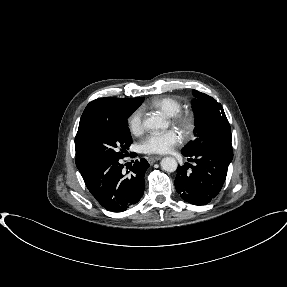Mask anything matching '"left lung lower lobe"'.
I'll list each match as a JSON object with an SVG mask.
<instances>
[{
    "label": "left lung lower lobe",
    "instance_id": "1",
    "mask_svg": "<svg viewBox=\"0 0 287 287\" xmlns=\"http://www.w3.org/2000/svg\"><path fill=\"white\" fill-rule=\"evenodd\" d=\"M183 155L195 165L186 163L177 168L175 188L183 200L194 205H205L217 196L225 182L233 158L232 143L223 142L192 155Z\"/></svg>",
    "mask_w": 287,
    "mask_h": 287
}]
</instances>
